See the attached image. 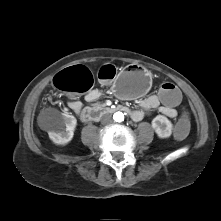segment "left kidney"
<instances>
[{"label":"left kidney","instance_id":"obj_1","mask_svg":"<svg viewBox=\"0 0 221 221\" xmlns=\"http://www.w3.org/2000/svg\"><path fill=\"white\" fill-rule=\"evenodd\" d=\"M152 128L160 138H168L172 134L173 125L171 121L163 116V115H157L152 120Z\"/></svg>","mask_w":221,"mask_h":221}]
</instances>
